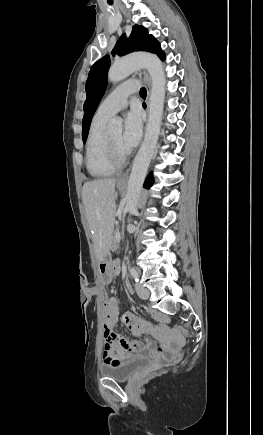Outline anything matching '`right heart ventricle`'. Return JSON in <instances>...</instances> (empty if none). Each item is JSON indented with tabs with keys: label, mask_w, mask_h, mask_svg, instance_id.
Segmentation results:
<instances>
[{
	"label": "right heart ventricle",
	"mask_w": 263,
	"mask_h": 435,
	"mask_svg": "<svg viewBox=\"0 0 263 435\" xmlns=\"http://www.w3.org/2000/svg\"><path fill=\"white\" fill-rule=\"evenodd\" d=\"M108 119L94 116L85 148V164L88 173L94 178L111 176L116 168L109 162L105 148V128Z\"/></svg>",
	"instance_id": "1"
}]
</instances>
